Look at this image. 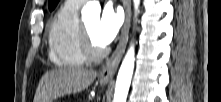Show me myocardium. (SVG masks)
<instances>
[{
    "instance_id": "myocardium-1",
    "label": "myocardium",
    "mask_w": 221,
    "mask_h": 102,
    "mask_svg": "<svg viewBox=\"0 0 221 102\" xmlns=\"http://www.w3.org/2000/svg\"><path fill=\"white\" fill-rule=\"evenodd\" d=\"M80 40L82 51L88 60L97 61L106 54L105 47L96 45L93 42L85 24L82 22L80 27Z\"/></svg>"
}]
</instances>
